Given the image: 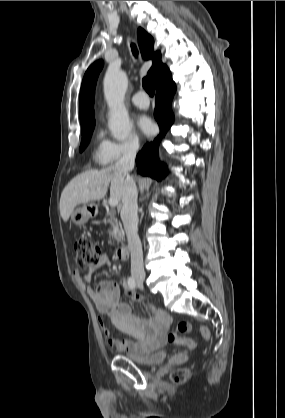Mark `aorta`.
Here are the masks:
<instances>
[{"instance_id": "1", "label": "aorta", "mask_w": 285, "mask_h": 418, "mask_svg": "<svg viewBox=\"0 0 285 418\" xmlns=\"http://www.w3.org/2000/svg\"><path fill=\"white\" fill-rule=\"evenodd\" d=\"M128 79L120 68H109L104 78V94L110 109L108 127L116 140H125L131 132V122L123 100Z\"/></svg>"}]
</instances>
